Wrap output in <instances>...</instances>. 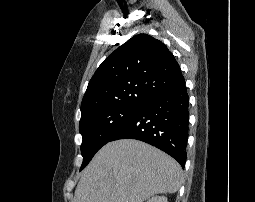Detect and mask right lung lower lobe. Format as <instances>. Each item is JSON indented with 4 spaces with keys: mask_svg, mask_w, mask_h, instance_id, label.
Instances as JSON below:
<instances>
[{
    "mask_svg": "<svg viewBox=\"0 0 255 202\" xmlns=\"http://www.w3.org/2000/svg\"><path fill=\"white\" fill-rule=\"evenodd\" d=\"M188 107L185 84L160 93L142 104L110 141L125 138L144 141L172 156L184 168L187 158Z\"/></svg>",
    "mask_w": 255,
    "mask_h": 202,
    "instance_id": "right-lung-lower-lobe-1",
    "label": "right lung lower lobe"
}]
</instances>
